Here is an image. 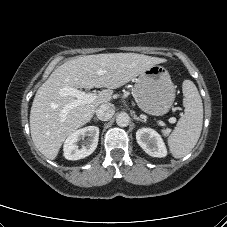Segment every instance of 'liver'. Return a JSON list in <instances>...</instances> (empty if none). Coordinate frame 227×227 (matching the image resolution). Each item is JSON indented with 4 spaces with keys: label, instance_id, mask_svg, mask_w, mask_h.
Returning a JSON list of instances; mask_svg holds the SVG:
<instances>
[{
    "label": "liver",
    "instance_id": "6515ba94",
    "mask_svg": "<svg viewBox=\"0 0 227 227\" xmlns=\"http://www.w3.org/2000/svg\"><path fill=\"white\" fill-rule=\"evenodd\" d=\"M165 59L137 53H109L71 59L57 69L37 90L30 112V131L36 148L48 159L54 160L65 141L76 129L88 123L97 107L109 103L113 89L119 88L150 67ZM103 70V75L98 71ZM64 87L100 91L91 103L63 110L75 100L74 96H61Z\"/></svg>",
    "mask_w": 227,
    "mask_h": 227
}]
</instances>
